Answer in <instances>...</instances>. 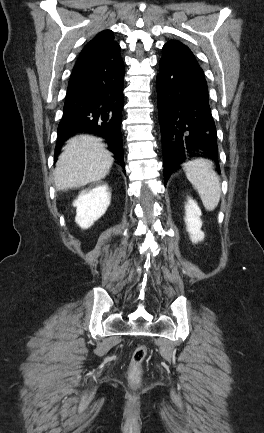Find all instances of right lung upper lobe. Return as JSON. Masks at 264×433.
<instances>
[{
	"instance_id": "1",
	"label": "right lung upper lobe",
	"mask_w": 264,
	"mask_h": 433,
	"mask_svg": "<svg viewBox=\"0 0 264 433\" xmlns=\"http://www.w3.org/2000/svg\"><path fill=\"white\" fill-rule=\"evenodd\" d=\"M93 56L109 60L121 58L120 46L116 41H114V35L111 30H104L96 35L86 44L79 57ZM55 154L57 155L56 151Z\"/></svg>"
}]
</instances>
